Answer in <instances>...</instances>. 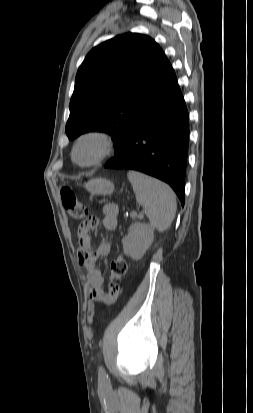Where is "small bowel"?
Masks as SVG:
<instances>
[{"label":"small bowel","mask_w":253,"mask_h":413,"mask_svg":"<svg viewBox=\"0 0 253 413\" xmlns=\"http://www.w3.org/2000/svg\"><path fill=\"white\" fill-rule=\"evenodd\" d=\"M101 222L106 231L116 229L118 207L115 204L107 203L103 206ZM97 225L98 220L95 217H90L80 224L77 234L78 258L79 263L85 268L86 278L90 285V297L102 301L103 307L110 309L120 295L119 282L113 274H109L104 284L102 272L95 265L98 258L109 256L112 249L109 241H102L96 248L93 247L90 233Z\"/></svg>","instance_id":"1"}]
</instances>
